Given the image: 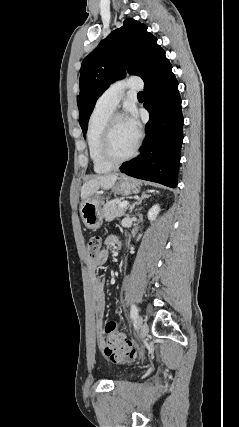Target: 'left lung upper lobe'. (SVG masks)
I'll use <instances>...</instances> for the list:
<instances>
[{
  "mask_svg": "<svg viewBox=\"0 0 239 427\" xmlns=\"http://www.w3.org/2000/svg\"><path fill=\"white\" fill-rule=\"evenodd\" d=\"M168 61L165 51L147 26L134 19H126L123 26L111 32L89 55L80 69V93L77 97L79 123L84 135L97 99L111 83L130 74L144 82L152 78ZM139 64L132 69L130 64Z\"/></svg>",
  "mask_w": 239,
  "mask_h": 427,
  "instance_id": "5c2ea615",
  "label": "left lung upper lobe"
}]
</instances>
